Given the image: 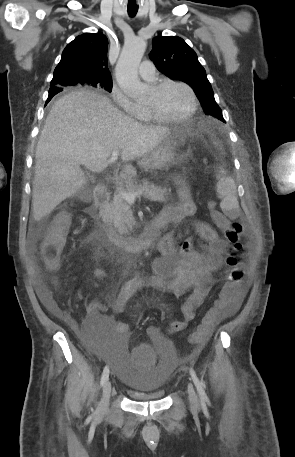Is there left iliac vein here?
I'll list each match as a JSON object with an SVG mask.
<instances>
[{
    "instance_id": "4c4485c4",
    "label": "left iliac vein",
    "mask_w": 295,
    "mask_h": 457,
    "mask_svg": "<svg viewBox=\"0 0 295 457\" xmlns=\"http://www.w3.org/2000/svg\"><path fill=\"white\" fill-rule=\"evenodd\" d=\"M187 393H188V399H189L190 405L194 408L198 407L199 398L191 383H188V385H187Z\"/></svg>"
}]
</instances>
